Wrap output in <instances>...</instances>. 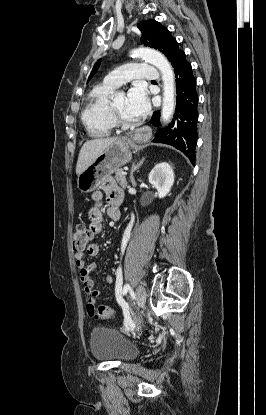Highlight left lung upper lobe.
<instances>
[{
  "mask_svg": "<svg viewBox=\"0 0 266 415\" xmlns=\"http://www.w3.org/2000/svg\"><path fill=\"white\" fill-rule=\"evenodd\" d=\"M142 32L141 42L146 46L158 49L174 66L177 58L183 53L179 49L178 43L171 33L155 20H144L137 26ZM101 60H98L89 76L88 81L93 77L98 70Z\"/></svg>",
  "mask_w": 266,
  "mask_h": 415,
  "instance_id": "1",
  "label": "left lung upper lobe"
}]
</instances>
